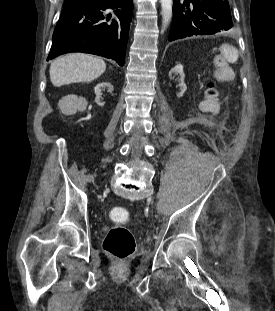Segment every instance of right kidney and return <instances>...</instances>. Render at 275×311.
<instances>
[{
  "mask_svg": "<svg viewBox=\"0 0 275 311\" xmlns=\"http://www.w3.org/2000/svg\"><path fill=\"white\" fill-rule=\"evenodd\" d=\"M112 88V84L107 82L97 84L94 88L95 94L97 96V98L95 99V104L98 105L100 108H105L107 106V100H111L112 98Z\"/></svg>",
  "mask_w": 275,
  "mask_h": 311,
  "instance_id": "obj_1",
  "label": "right kidney"
}]
</instances>
